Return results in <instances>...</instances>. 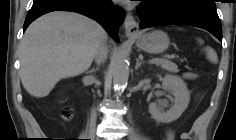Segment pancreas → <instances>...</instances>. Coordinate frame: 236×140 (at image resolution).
Returning <instances> with one entry per match:
<instances>
[{"label": "pancreas", "instance_id": "obj_1", "mask_svg": "<svg viewBox=\"0 0 236 140\" xmlns=\"http://www.w3.org/2000/svg\"><path fill=\"white\" fill-rule=\"evenodd\" d=\"M156 64L161 66L163 69H166L169 72H173V73L179 72L178 66L175 63L171 62V61L162 60V61H160Z\"/></svg>", "mask_w": 236, "mask_h": 140}]
</instances>
